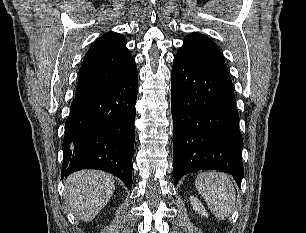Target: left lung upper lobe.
Segmentation results:
<instances>
[{
	"instance_id": "1",
	"label": "left lung upper lobe",
	"mask_w": 306,
	"mask_h": 233,
	"mask_svg": "<svg viewBox=\"0 0 306 233\" xmlns=\"http://www.w3.org/2000/svg\"><path fill=\"white\" fill-rule=\"evenodd\" d=\"M177 54L186 55L193 60L227 69L218 46L207 36L192 33L184 38L183 46Z\"/></svg>"
}]
</instances>
